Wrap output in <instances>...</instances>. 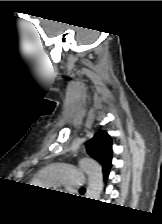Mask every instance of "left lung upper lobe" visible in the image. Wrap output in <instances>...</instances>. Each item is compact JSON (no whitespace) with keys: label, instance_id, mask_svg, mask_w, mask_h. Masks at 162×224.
I'll return each instance as SVG.
<instances>
[{"label":"left lung upper lobe","instance_id":"5c2ea615","mask_svg":"<svg viewBox=\"0 0 162 224\" xmlns=\"http://www.w3.org/2000/svg\"><path fill=\"white\" fill-rule=\"evenodd\" d=\"M88 154L101 163L103 172H109L112 165V139L107 132L99 131L86 142Z\"/></svg>","mask_w":162,"mask_h":224}]
</instances>
